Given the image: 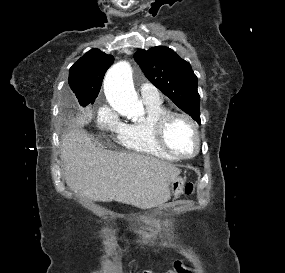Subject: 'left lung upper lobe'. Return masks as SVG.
Masks as SVG:
<instances>
[{
  "mask_svg": "<svg viewBox=\"0 0 285 273\" xmlns=\"http://www.w3.org/2000/svg\"><path fill=\"white\" fill-rule=\"evenodd\" d=\"M135 61L160 91L194 120L201 122L197 77L187 61L164 46L136 52Z\"/></svg>",
  "mask_w": 285,
  "mask_h": 273,
  "instance_id": "5c2ea615",
  "label": "left lung upper lobe"
}]
</instances>
